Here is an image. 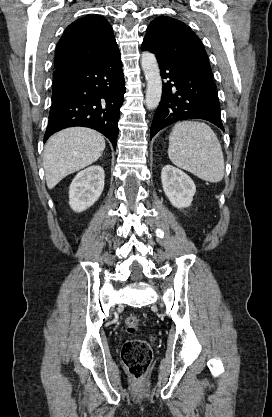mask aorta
I'll list each match as a JSON object with an SVG mask.
<instances>
[{"label":"aorta","mask_w":272,"mask_h":417,"mask_svg":"<svg viewBox=\"0 0 272 417\" xmlns=\"http://www.w3.org/2000/svg\"><path fill=\"white\" fill-rule=\"evenodd\" d=\"M141 65L147 81L146 107L147 109H155L159 105L162 95V80L155 55L143 52Z\"/></svg>","instance_id":"762f6f07"}]
</instances>
